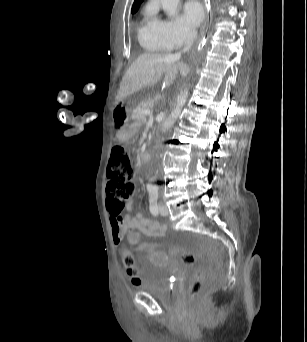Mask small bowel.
<instances>
[{
	"mask_svg": "<svg viewBox=\"0 0 307 342\" xmlns=\"http://www.w3.org/2000/svg\"><path fill=\"white\" fill-rule=\"evenodd\" d=\"M130 208V203L128 204ZM126 225H137L138 229H144L145 233L150 234V238H161L165 235L167 227L158 221L148 219L141 213H137L135 216L126 215L121 218H111V236L115 244L122 242L125 234ZM127 237V236H126Z\"/></svg>",
	"mask_w": 307,
	"mask_h": 342,
	"instance_id": "c3829d8e",
	"label": "small bowel"
}]
</instances>
